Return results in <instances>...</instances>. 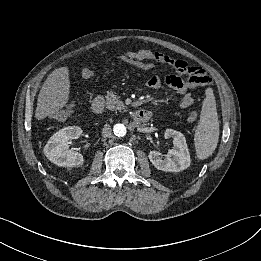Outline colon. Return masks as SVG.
Listing matches in <instances>:
<instances>
[{
    "label": "colon",
    "mask_w": 261,
    "mask_h": 261,
    "mask_svg": "<svg viewBox=\"0 0 261 261\" xmlns=\"http://www.w3.org/2000/svg\"><path fill=\"white\" fill-rule=\"evenodd\" d=\"M145 66H149V63H145ZM171 66L179 76L186 78L187 82L192 86L203 87L212 84L211 77L200 66L190 65L181 59H174ZM78 107V103L73 100L61 108L50 111L48 116L52 119L62 121L73 114ZM196 116L197 114L193 113L190 118L193 120Z\"/></svg>",
    "instance_id": "1"
}]
</instances>
